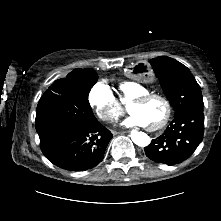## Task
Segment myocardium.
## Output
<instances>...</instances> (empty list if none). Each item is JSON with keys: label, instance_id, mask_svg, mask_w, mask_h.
<instances>
[{"label": "myocardium", "instance_id": "obj_1", "mask_svg": "<svg viewBox=\"0 0 221 221\" xmlns=\"http://www.w3.org/2000/svg\"><path fill=\"white\" fill-rule=\"evenodd\" d=\"M153 98H158V99L162 100L166 106V113H165V116L163 117V119L155 126H151V127L147 126V129L150 131H157V130L164 128L172 116V111H173L172 104L166 96L159 94V93L150 92V93L141 95L139 97H136L135 99H133L131 101L130 105H143Z\"/></svg>", "mask_w": 221, "mask_h": 221}]
</instances>
